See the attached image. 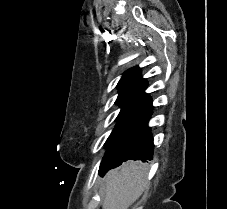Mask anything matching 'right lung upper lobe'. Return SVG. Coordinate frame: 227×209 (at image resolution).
Segmentation results:
<instances>
[{"label": "right lung upper lobe", "mask_w": 227, "mask_h": 209, "mask_svg": "<svg viewBox=\"0 0 227 209\" xmlns=\"http://www.w3.org/2000/svg\"><path fill=\"white\" fill-rule=\"evenodd\" d=\"M140 70V68L135 67L124 73L118 83L119 96L116 100L117 104L130 102L134 105L152 108L151 98L144 93L147 82L140 77Z\"/></svg>", "instance_id": "right-lung-upper-lobe-1"}]
</instances>
